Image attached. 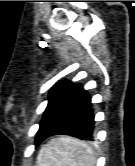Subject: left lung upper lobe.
I'll return each mask as SVG.
<instances>
[{"mask_svg":"<svg viewBox=\"0 0 135 166\" xmlns=\"http://www.w3.org/2000/svg\"><path fill=\"white\" fill-rule=\"evenodd\" d=\"M74 86L75 85L70 81H60L56 83V85L50 91L48 99L49 102L40 124L47 116L51 114L54 105L57 104L60 100L64 99L67 96V94L74 88Z\"/></svg>","mask_w":135,"mask_h":166,"instance_id":"5c2ea615","label":"left lung upper lobe"}]
</instances>
